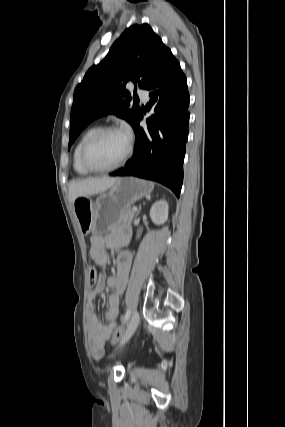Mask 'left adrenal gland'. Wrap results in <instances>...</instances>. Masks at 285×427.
Segmentation results:
<instances>
[{"mask_svg": "<svg viewBox=\"0 0 285 427\" xmlns=\"http://www.w3.org/2000/svg\"><path fill=\"white\" fill-rule=\"evenodd\" d=\"M140 210H141V208L139 207V210L136 212V216L139 214Z\"/></svg>", "mask_w": 285, "mask_h": 427, "instance_id": "a2214340", "label": "left adrenal gland"}]
</instances>
